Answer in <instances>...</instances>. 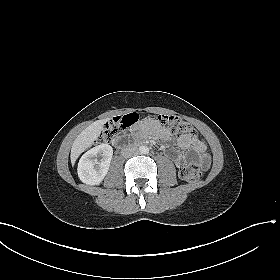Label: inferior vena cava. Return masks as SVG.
Instances as JSON below:
<instances>
[{"label": "inferior vena cava", "instance_id": "obj_1", "mask_svg": "<svg viewBox=\"0 0 280 280\" xmlns=\"http://www.w3.org/2000/svg\"><path fill=\"white\" fill-rule=\"evenodd\" d=\"M138 148L133 146V145H128L125 148L122 149L121 154L124 157H130L132 155H137L138 154Z\"/></svg>", "mask_w": 280, "mask_h": 280}]
</instances>
